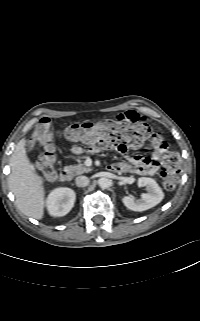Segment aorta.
Wrapping results in <instances>:
<instances>
[{"instance_id":"aorta-1","label":"aorta","mask_w":200,"mask_h":321,"mask_svg":"<svg viewBox=\"0 0 200 321\" xmlns=\"http://www.w3.org/2000/svg\"><path fill=\"white\" fill-rule=\"evenodd\" d=\"M98 184L100 188L106 189L110 186V180L108 178L103 177L98 180Z\"/></svg>"}]
</instances>
